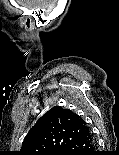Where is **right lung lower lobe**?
Masks as SVG:
<instances>
[{
    "label": "right lung lower lobe",
    "mask_w": 119,
    "mask_h": 155,
    "mask_svg": "<svg viewBox=\"0 0 119 155\" xmlns=\"http://www.w3.org/2000/svg\"><path fill=\"white\" fill-rule=\"evenodd\" d=\"M60 155H96V143L91 131L70 143Z\"/></svg>",
    "instance_id": "98d812e1"
}]
</instances>
